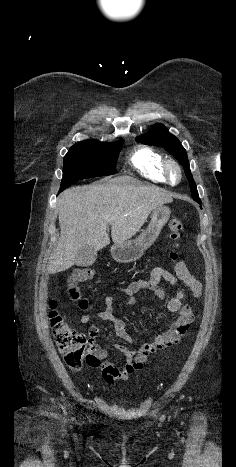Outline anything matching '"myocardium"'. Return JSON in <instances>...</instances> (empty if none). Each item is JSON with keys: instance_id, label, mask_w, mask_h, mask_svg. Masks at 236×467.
Masks as SVG:
<instances>
[{"instance_id": "obj_1", "label": "myocardium", "mask_w": 236, "mask_h": 467, "mask_svg": "<svg viewBox=\"0 0 236 467\" xmlns=\"http://www.w3.org/2000/svg\"><path fill=\"white\" fill-rule=\"evenodd\" d=\"M174 174H176V178L174 177ZM164 175L170 184H178L182 179L181 166L174 160L166 161L164 165Z\"/></svg>"}]
</instances>
